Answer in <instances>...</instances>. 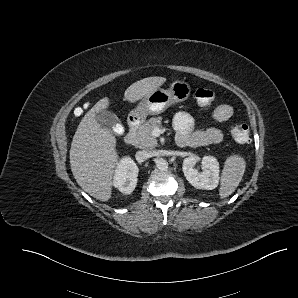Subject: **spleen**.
<instances>
[{
    "label": "spleen",
    "instance_id": "3e777b00",
    "mask_svg": "<svg viewBox=\"0 0 298 298\" xmlns=\"http://www.w3.org/2000/svg\"><path fill=\"white\" fill-rule=\"evenodd\" d=\"M245 162L240 157L227 159L221 178L220 196L230 195L242 179Z\"/></svg>",
    "mask_w": 298,
    "mask_h": 298
}]
</instances>
